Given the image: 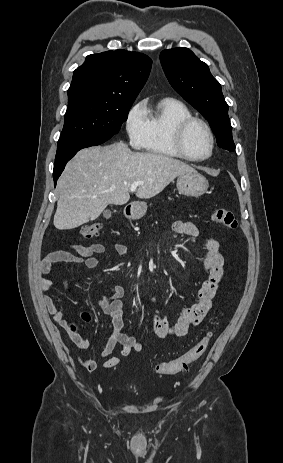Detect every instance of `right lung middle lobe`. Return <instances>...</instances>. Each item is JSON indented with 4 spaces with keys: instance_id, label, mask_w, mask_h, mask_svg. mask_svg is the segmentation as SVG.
Returning <instances> with one entry per match:
<instances>
[{
    "instance_id": "right-lung-middle-lobe-1",
    "label": "right lung middle lobe",
    "mask_w": 283,
    "mask_h": 463,
    "mask_svg": "<svg viewBox=\"0 0 283 463\" xmlns=\"http://www.w3.org/2000/svg\"><path fill=\"white\" fill-rule=\"evenodd\" d=\"M133 102L134 99L86 92L68 94V108L58 146L81 140L110 139L127 120Z\"/></svg>"
}]
</instances>
